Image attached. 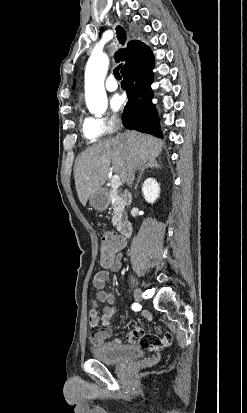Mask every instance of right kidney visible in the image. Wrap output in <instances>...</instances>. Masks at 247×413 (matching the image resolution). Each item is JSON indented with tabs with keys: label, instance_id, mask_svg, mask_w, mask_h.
Returning <instances> with one entry per match:
<instances>
[{
	"label": "right kidney",
	"instance_id": "ca27d5eb",
	"mask_svg": "<svg viewBox=\"0 0 247 413\" xmlns=\"http://www.w3.org/2000/svg\"><path fill=\"white\" fill-rule=\"evenodd\" d=\"M142 194L147 202H155L160 196V186L155 178H146L142 184Z\"/></svg>",
	"mask_w": 247,
	"mask_h": 413
}]
</instances>
